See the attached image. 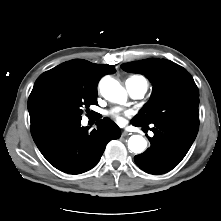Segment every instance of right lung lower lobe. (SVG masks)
I'll return each instance as SVG.
<instances>
[{"label":"right lung lower lobe","mask_w":221,"mask_h":221,"mask_svg":"<svg viewBox=\"0 0 221 221\" xmlns=\"http://www.w3.org/2000/svg\"><path fill=\"white\" fill-rule=\"evenodd\" d=\"M81 117L50 116L31 125V134L47 161L58 170L80 174L93 168L100 160L107 143L121 136L119 127L104 118L97 128L81 126Z\"/></svg>","instance_id":"obj_1"}]
</instances>
